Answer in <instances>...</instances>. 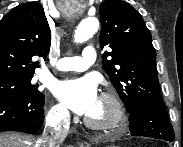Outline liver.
<instances>
[{"label":"liver","instance_id":"1","mask_svg":"<svg viewBox=\"0 0 183 147\" xmlns=\"http://www.w3.org/2000/svg\"><path fill=\"white\" fill-rule=\"evenodd\" d=\"M36 140L32 136L19 133L0 134V147H36Z\"/></svg>","mask_w":183,"mask_h":147}]
</instances>
